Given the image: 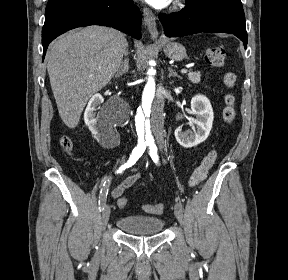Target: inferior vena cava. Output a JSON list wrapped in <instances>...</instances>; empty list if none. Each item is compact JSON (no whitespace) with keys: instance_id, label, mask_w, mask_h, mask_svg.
I'll list each match as a JSON object with an SVG mask.
<instances>
[{"instance_id":"602c4592","label":"inferior vena cava","mask_w":288,"mask_h":280,"mask_svg":"<svg viewBox=\"0 0 288 280\" xmlns=\"http://www.w3.org/2000/svg\"><path fill=\"white\" fill-rule=\"evenodd\" d=\"M165 97H170V92L167 89H158L156 96H154L153 105L151 106V121L150 126H152V137H155V141H158L159 147L161 150H164L165 147H168V142L166 141V136L164 132V113L163 105ZM158 157H162L163 153L158 152Z\"/></svg>"}]
</instances>
